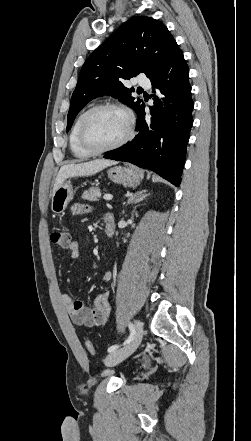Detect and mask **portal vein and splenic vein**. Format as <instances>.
Returning <instances> with one entry per match:
<instances>
[{
  "instance_id": "obj_1",
  "label": "portal vein and splenic vein",
  "mask_w": 251,
  "mask_h": 441,
  "mask_svg": "<svg viewBox=\"0 0 251 441\" xmlns=\"http://www.w3.org/2000/svg\"><path fill=\"white\" fill-rule=\"evenodd\" d=\"M112 198H113V196L111 194H106L103 196V199L106 201H110V200H112Z\"/></svg>"
}]
</instances>
